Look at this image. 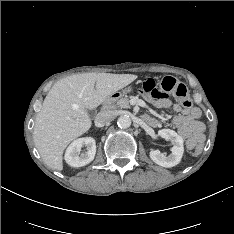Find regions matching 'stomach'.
<instances>
[{
  "instance_id": "0dacf381",
  "label": "stomach",
  "mask_w": 234,
  "mask_h": 234,
  "mask_svg": "<svg viewBox=\"0 0 234 234\" xmlns=\"http://www.w3.org/2000/svg\"><path fill=\"white\" fill-rule=\"evenodd\" d=\"M132 91V88L131 87H127V88H125L124 90H122V92H121V95H124V94H126V93H128V92H131ZM114 94V93H113Z\"/></svg>"
}]
</instances>
